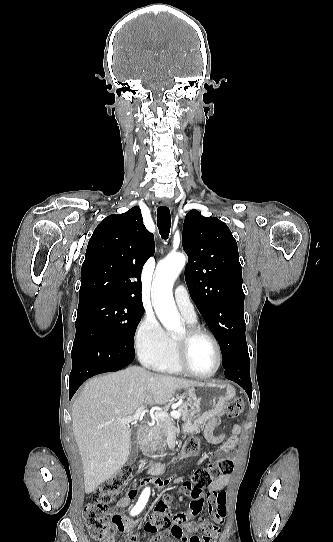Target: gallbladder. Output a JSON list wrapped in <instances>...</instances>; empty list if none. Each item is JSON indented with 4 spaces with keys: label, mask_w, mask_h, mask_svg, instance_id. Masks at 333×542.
<instances>
[{
    "label": "gallbladder",
    "mask_w": 333,
    "mask_h": 542,
    "mask_svg": "<svg viewBox=\"0 0 333 542\" xmlns=\"http://www.w3.org/2000/svg\"><path fill=\"white\" fill-rule=\"evenodd\" d=\"M137 434L138 428H131V444L128 456V464H133L138 456V446H137Z\"/></svg>",
    "instance_id": "gallbladder-1"
}]
</instances>
